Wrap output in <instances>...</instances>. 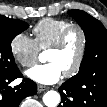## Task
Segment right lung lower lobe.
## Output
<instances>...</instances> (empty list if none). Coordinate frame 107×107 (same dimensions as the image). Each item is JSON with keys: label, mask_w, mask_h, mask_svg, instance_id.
I'll use <instances>...</instances> for the list:
<instances>
[{"label": "right lung lower lobe", "mask_w": 107, "mask_h": 107, "mask_svg": "<svg viewBox=\"0 0 107 107\" xmlns=\"http://www.w3.org/2000/svg\"><path fill=\"white\" fill-rule=\"evenodd\" d=\"M21 77L18 68L7 75L0 76V107H18L23 98L36 93V83L28 78L23 79L14 88L8 86L13 80Z\"/></svg>", "instance_id": "obj_1"}]
</instances>
